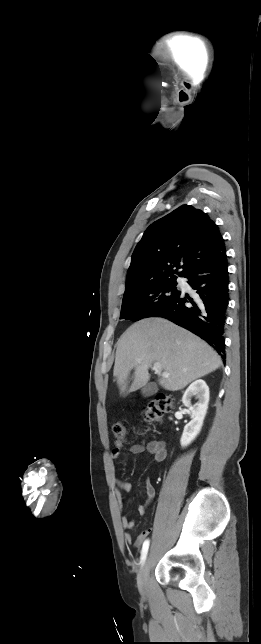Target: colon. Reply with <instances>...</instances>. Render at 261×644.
I'll use <instances>...</instances> for the list:
<instances>
[{"label": "colon", "mask_w": 261, "mask_h": 644, "mask_svg": "<svg viewBox=\"0 0 261 644\" xmlns=\"http://www.w3.org/2000/svg\"><path fill=\"white\" fill-rule=\"evenodd\" d=\"M174 398L167 394H158L145 409V419L149 423L158 422L163 414L172 411ZM113 433L117 440L124 441L127 438V426L124 422H116L113 425Z\"/></svg>", "instance_id": "colon-1"}]
</instances>
